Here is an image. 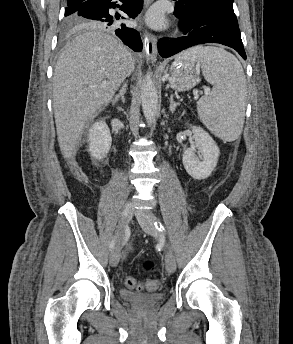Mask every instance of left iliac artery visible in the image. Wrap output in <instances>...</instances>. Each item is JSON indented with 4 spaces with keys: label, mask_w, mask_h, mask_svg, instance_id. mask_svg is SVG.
<instances>
[{
    "label": "left iliac artery",
    "mask_w": 293,
    "mask_h": 344,
    "mask_svg": "<svg viewBox=\"0 0 293 344\" xmlns=\"http://www.w3.org/2000/svg\"><path fill=\"white\" fill-rule=\"evenodd\" d=\"M155 226L159 231H164L165 228L160 222H155Z\"/></svg>",
    "instance_id": "left-iliac-artery-1"
}]
</instances>
